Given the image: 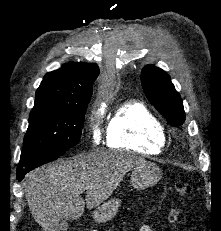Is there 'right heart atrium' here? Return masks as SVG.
Listing matches in <instances>:
<instances>
[{"label":"right heart atrium","instance_id":"obj_1","mask_svg":"<svg viewBox=\"0 0 221 231\" xmlns=\"http://www.w3.org/2000/svg\"><path fill=\"white\" fill-rule=\"evenodd\" d=\"M92 133H93V139L95 142H98L100 140V116L97 117L96 120H94V124L92 126Z\"/></svg>","mask_w":221,"mask_h":231}]
</instances>
